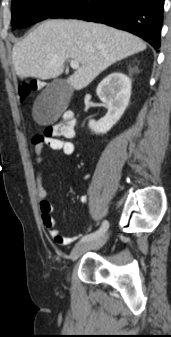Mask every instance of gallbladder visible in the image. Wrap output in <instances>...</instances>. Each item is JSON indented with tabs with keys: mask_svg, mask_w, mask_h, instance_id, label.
<instances>
[{
	"mask_svg": "<svg viewBox=\"0 0 171 337\" xmlns=\"http://www.w3.org/2000/svg\"><path fill=\"white\" fill-rule=\"evenodd\" d=\"M72 87L66 81L55 79L36 98L33 115L40 124H50L66 109L72 95Z\"/></svg>",
	"mask_w": 171,
	"mask_h": 337,
	"instance_id": "gallbladder-1",
	"label": "gallbladder"
}]
</instances>
